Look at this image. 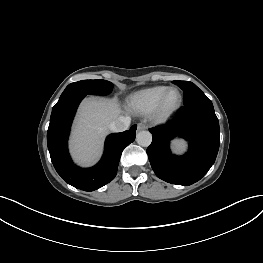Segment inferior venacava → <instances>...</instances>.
I'll use <instances>...</instances> for the list:
<instances>
[{
	"instance_id": "inferior-vena-cava-1",
	"label": "inferior vena cava",
	"mask_w": 263,
	"mask_h": 263,
	"mask_svg": "<svg viewBox=\"0 0 263 263\" xmlns=\"http://www.w3.org/2000/svg\"><path fill=\"white\" fill-rule=\"evenodd\" d=\"M131 119L129 117L120 116L109 124L112 132H123L129 128Z\"/></svg>"
}]
</instances>
